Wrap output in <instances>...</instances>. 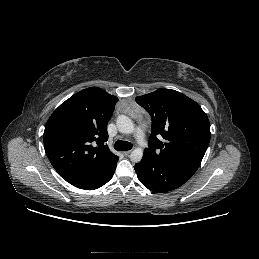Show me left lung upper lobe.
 <instances>
[{
    "instance_id": "obj_1",
    "label": "left lung upper lobe",
    "mask_w": 259,
    "mask_h": 259,
    "mask_svg": "<svg viewBox=\"0 0 259 259\" xmlns=\"http://www.w3.org/2000/svg\"><path fill=\"white\" fill-rule=\"evenodd\" d=\"M136 102L152 118V135L144 154L196 171L211 136L208 117L201 107L170 89L138 96Z\"/></svg>"
}]
</instances>
